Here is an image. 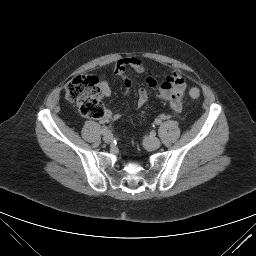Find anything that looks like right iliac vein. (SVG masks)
Listing matches in <instances>:
<instances>
[{"label":"right iliac vein","instance_id":"right-iliac-vein-1","mask_svg":"<svg viewBox=\"0 0 256 256\" xmlns=\"http://www.w3.org/2000/svg\"><path fill=\"white\" fill-rule=\"evenodd\" d=\"M103 141L105 143H111L113 141V135L111 133H107L103 137Z\"/></svg>","mask_w":256,"mask_h":256}]
</instances>
